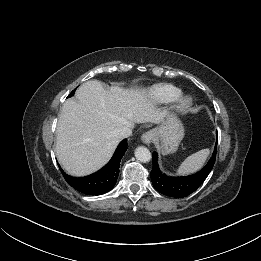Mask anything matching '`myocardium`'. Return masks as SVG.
I'll return each mask as SVG.
<instances>
[{
    "mask_svg": "<svg viewBox=\"0 0 261 261\" xmlns=\"http://www.w3.org/2000/svg\"><path fill=\"white\" fill-rule=\"evenodd\" d=\"M194 105V98L190 95H181L174 101L173 110L178 114H184Z\"/></svg>",
    "mask_w": 261,
    "mask_h": 261,
    "instance_id": "obj_1",
    "label": "myocardium"
}]
</instances>
